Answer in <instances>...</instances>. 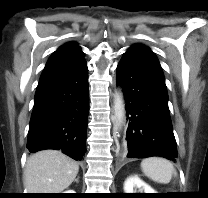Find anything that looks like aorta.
Returning <instances> with one entry per match:
<instances>
[{
  "mask_svg": "<svg viewBox=\"0 0 208 198\" xmlns=\"http://www.w3.org/2000/svg\"><path fill=\"white\" fill-rule=\"evenodd\" d=\"M125 113V105L123 94L121 90H118L114 96V117L116 119L118 127L121 126Z\"/></svg>",
  "mask_w": 208,
  "mask_h": 198,
  "instance_id": "1",
  "label": "aorta"
}]
</instances>
